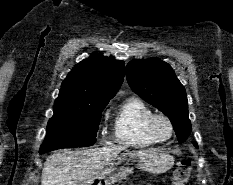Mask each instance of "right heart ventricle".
Wrapping results in <instances>:
<instances>
[{"mask_svg": "<svg viewBox=\"0 0 233 185\" xmlns=\"http://www.w3.org/2000/svg\"><path fill=\"white\" fill-rule=\"evenodd\" d=\"M154 114L141 99L131 97L118 108L114 118L116 140L132 147H147L157 143L148 131V121Z\"/></svg>", "mask_w": 233, "mask_h": 185, "instance_id": "1", "label": "right heart ventricle"}]
</instances>
